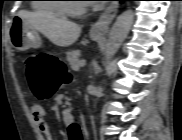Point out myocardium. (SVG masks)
Listing matches in <instances>:
<instances>
[{
	"label": "myocardium",
	"mask_w": 182,
	"mask_h": 140,
	"mask_svg": "<svg viewBox=\"0 0 182 140\" xmlns=\"http://www.w3.org/2000/svg\"><path fill=\"white\" fill-rule=\"evenodd\" d=\"M63 10L71 16H79L86 11V5L74 0H65L62 4Z\"/></svg>",
	"instance_id": "1"
}]
</instances>
